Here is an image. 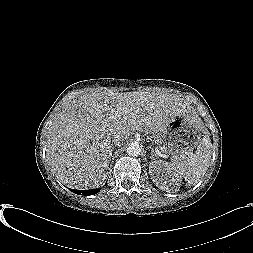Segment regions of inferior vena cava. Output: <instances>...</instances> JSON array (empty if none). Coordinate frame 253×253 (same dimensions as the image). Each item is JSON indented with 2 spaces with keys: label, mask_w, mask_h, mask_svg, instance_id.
Returning <instances> with one entry per match:
<instances>
[{
  "label": "inferior vena cava",
  "mask_w": 253,
  "mask_h": 253,
  "mask_svg": "<svg viewBox=\"0 0 253 253\" xmlns=\"http://www.w3.org/2000/svg\"><path fill=\"white\" fill-rule=\"evenodd\" d=\"M112 145L114 146V147H119L120 145H121V138L120 137H113L112 138Z\"/></svg>",
  "instance_id": "obj_1"
}]
</instances>
